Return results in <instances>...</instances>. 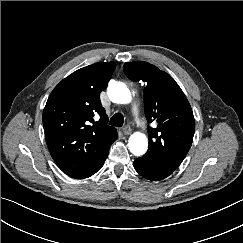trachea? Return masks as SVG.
Segmentation results:
<instances>
[{"label": "trachea", "instance_id": "3493384b", "mask_svg": "<svg viewBox=\"0 0 243 243\" xmlns=\"http://www.w3.org/2000/svg\"><path fill=\"white\" fill-rule=\"evenodd\" d=\"M123 123H124V117L120 113L114 114L111 117L110 122H109L110 125H113L116 127H122Z\"/></svg>", "mask_w": 243, "mask_h": 243}]
</instances>
